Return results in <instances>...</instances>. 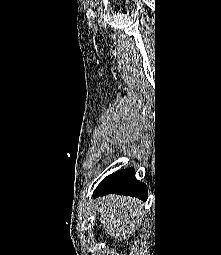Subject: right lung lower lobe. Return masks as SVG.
<instances>
[{
    "label": "right lung lower lobe",
    "mask_w": 221,
    "mask_h": 255,
    "mask_svg": "<svg viewBox=\"0 0 221 255\" xmlns=\"http://www.w3.org/2000/svg\"><path fill=\"white\" fill-rule=\"evenodd\" d=\"M108 193L136 196L142 200L148 197L146 185L135 178L133 168L120 170L107 176L94 191L95 196Z\"/></svg>",
    "instance_id": "1"
}]
</instances>
